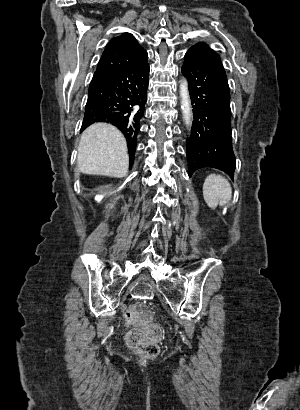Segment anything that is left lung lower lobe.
I'll return each mask as SVG.
<instances>
[{
	"label": "left lung lower lobe",
	"mask_w": 300,
	"mask_h": 410,
	"mask_svg": "<svg viewBox=\"0 0 300 410\" xmlns=\"http://www.w3.org/2000/svg\"><path fill=\"white\" fill-rule=\"evenodd\" d=\"M182 73L189 83L194 117L187 141L188 174L191 177L194 171L207 166L233 177L236 165L225 70L186 53Z\"/></svg>",
	"instance_id": "1"
}]
</instances>
